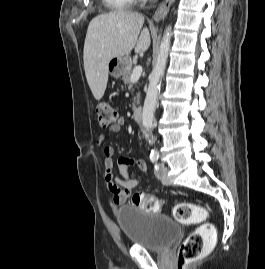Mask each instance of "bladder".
I'll return each instance as SVG.
<instances>
[{
  "mask_svg": "<svg viewBox=\"0 0 265 269\" xmlns=\"http://www.w3.org/2000/svg\"><path fill=\"white\" fill-rule=\"evenodd\" d=\"M117 223L128 239L152 251H165L181 236L180 225L166 215L124 205L116 210Z\"/></svg>",
  "mask_w": 265,
  "mask_h": 269,
  "instance_id": "obj_1",
  "label": "bladder"
}]
</instances>
